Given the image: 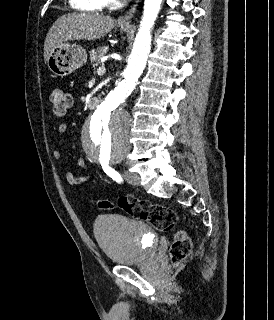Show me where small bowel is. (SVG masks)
<instances>
[{"mask_svg": "<svg viewBox=\"0 0 274 320\" xmlns=\"http://www.w3.org/2000/svg\"><path fill=\"white\" fill-rule=\"evenodd\" d=\"M67 129H68L67 124L61 123L57 127V133L59 135H63L64 133H66ZM53 157L56 160H60L62 158V151L59 148H56L53 151ZM77 165L83 171H85V172L88 171V166H87L86 161L83 157H79L77 159ZM89 178H90V176L87 173H85L83 175H75L72 171H70L68 169L65 171L66 182L72 188H75V187L87 182L89 180Z\"/></svg>", "mask_w": 274, "mask_h": 320, "instance_id": "1", "label": "small bowel"}]
</instances>
